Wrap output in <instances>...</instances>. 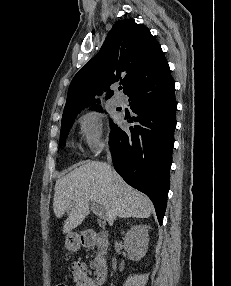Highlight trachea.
Here are the masks:
<instances>
[{"label": "trachea", "mask_w": 231, "mask_h": 286, "mask_svg": "<svg viewBox=\"0 0 231 286\" xmlns=\"http://www.w3.org/2000/svg\"><path fill=\"white\" fill-rule=\"evenodd\" d=\"M122 89V87H119V90H121Z\"/></svg>", "instance_id": "trachea-1"}]
</instances>
